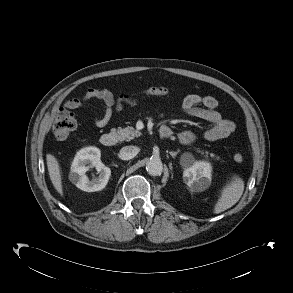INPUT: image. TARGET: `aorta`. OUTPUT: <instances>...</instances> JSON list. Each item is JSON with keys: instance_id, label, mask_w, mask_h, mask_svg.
<instances>
[{"instance_id": "aorta-1", "label": "aorta", "mask_w": 293, "mask_h": 293, "mask_svg": "<svg viewBox=\"0 0 293 293\" xmlns=\"http://www.w3.org/2000/svg\"><path fill=\"white\" fill-rule=\"evenodd\" d=\"M146 170L152 176H160L163 172L162 161L157 157L150 158L146 163Z\"/></svg>"}]
</instances>
